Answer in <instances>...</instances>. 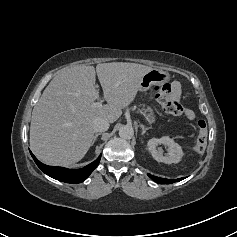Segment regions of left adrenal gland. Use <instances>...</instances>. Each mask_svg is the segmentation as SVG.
<instances>
[{
    "label": "left adrenal gland",
    "instance_id": "obj_1",
    "mask_svg": "<svg viewBox=\"0 0 237 237\" xmlns=\"http://www.w3.org/2000/svg\"><path fill=\"white\" fill-rule=\"evenodd\" d=\"M141 129H142V135H144L146 133V131L150 128H146L144 125H140Z\"/></svg>",
    "mask_w": 237,
    "mask_h": 237
}]
</instances>
